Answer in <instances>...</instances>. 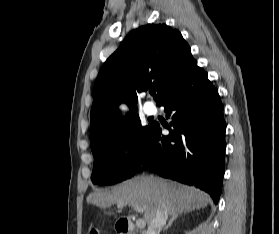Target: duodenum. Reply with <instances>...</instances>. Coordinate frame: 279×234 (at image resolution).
Returning <instances> with one entry per match:
<instances>
[{"mask_svg":"<svg viewBox=\"0 0 279 234\" xmlns=\"http://www.w3.org/2000/svg\"><path fill=\"white\" fill-rule=\"evenodd\" d=\"M118 232L120 234H135V227L131 220L121 218L117 223Z\"/></svg>","mask_w":279,"mask_h":234,"instance_id":"obj_1","label":"duodenum"}]
</instances>
